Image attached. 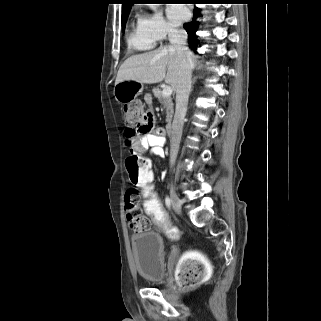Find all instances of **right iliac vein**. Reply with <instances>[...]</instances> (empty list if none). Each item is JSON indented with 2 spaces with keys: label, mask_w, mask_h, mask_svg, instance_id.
<instances>
[{
  "label": "right iliac vein",
  "mask_w": 321,
  "mask_h": 321,
  "mask_svg": "<svg viewBox=\"0 0 321 321\" xmlns=\"http://www.w3.org/2000/svg\"><path fill=\"white\" fill-rule=\"evenodd\" d=\"M170 198H171V202H172L174 210L177 213H180L181 212V200L178 197L173 185L170 186Z\"/></svg>",
  "instance_id": "63e3f726"
}]
</instances>
